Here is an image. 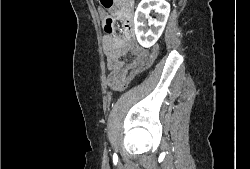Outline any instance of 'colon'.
I'll use <instances>...</instances> for the list:
<instances>
[{
    "label": "colon",
    "instance_id": "5ec220e1",
    "mask_svg": "<svg viewBox=\"0 0 250 169\" xmlns=\"http://www.w3.org/2000/svg\"><path fill=\"white\" fill-rule=\"evenodd\" d=\"M100 4L105 9H111L115 6L114 0H100ZM107 32H111L113 30V21H108L105 26ZM160 44H153L152 49L145 57V59L136 66L135 69H131L130 74L121 81V90H126L128 86L133 85V80L136 79L138 74H142V72H146V69H149L150 66H153V62L156 59L157 55L160 54Z\"/></svg>",
    "mask_w": 250,
    "mask_h": 169
}]
</instances>
